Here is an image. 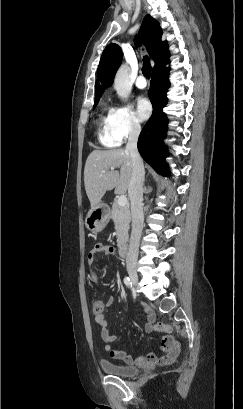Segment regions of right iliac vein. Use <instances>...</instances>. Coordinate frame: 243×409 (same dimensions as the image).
Masks as SVG:
<instances>
[{
    "label": "right iliac vein",
    "mask_w": 243,
    "mask_h": 409,
    "mask_svg": "<svg viewBox=\"0 0 243 409\" xmlns=\"http://www.w3.org/2000/svg\"><path fill=\"white\" fill-rule=\"evenodd\" d=\"M127 271H128L129 277H130V279H131V282H132L134 285H137V283H138V275H137L136 270H135L134 268H132V267H128V268H127Z\"/></svg>",
    "instance_id": "right-iliac-vein-1"
}]
</instances>
